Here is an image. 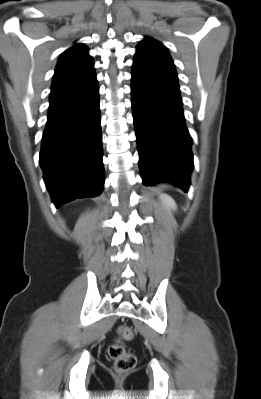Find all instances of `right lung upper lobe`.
Listing matches in <instances>:
<instances>
[{"mask_svg":"<svg viewBox=\"0 0 261 399\" xmlns=\"http://www.w3.org/2000/svg\"><path fill=\"white\" fill-rule=\"evenodd\" d=\"M94 62L83 44H75L60 57L51 89L61 88L83 80L94 72Z\"/></svg>","mask_w":261,"mask_h":399,"instance_id":"right-lung-upper-lobe-1","label":"right lung upper lobe"}]
</instances>
